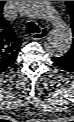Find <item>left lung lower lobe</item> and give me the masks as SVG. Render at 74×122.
Instances as JSON below:
<instances>
[{"label":"left lung lower lobe","mask_w":74,"mask_h":122,"mask_svg":"<svg viewBox=\"0 0 74 122\" xmlns=\"http://www.w3.org/2000/svg\"><path fill=\"white\" fill-rule=\"evenodd\" d=\"M53 62L62 70L74 73V62L63 56L53 58Z\"/></svg>","instance_id":"left-lung-lower-lobe-1"}]
</instances>
